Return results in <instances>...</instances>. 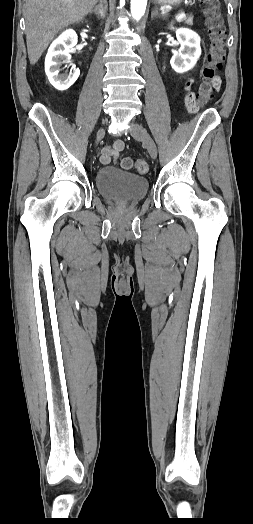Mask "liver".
I'll return each instance as SVG.
<instances>
[{
    "label": "liver",
    "instance_id": "6515ba94",
    "mask_svg": "<svg viewBox=\"0 0 253 524\" xmlns=\"http://www.w3.org/2000/svg\"><path fill=\"white\" fill-rule=\"evenodd\" d=\"M97 2L98 0H27L26 42L30 64L37 63L60 30L84 18Z\"/></svg>",
    "mask_w": 253,
    "mask_h": 524
}]
</instances>
